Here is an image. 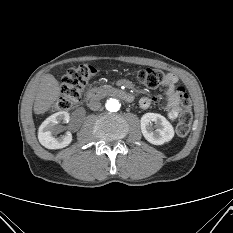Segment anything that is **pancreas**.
<instances>
[{
    "label": "pancreas",
    "mask_w": 233,
    "mask_h": 233,
    "mask_svg": "<svg viewBox=\"0 0 233 233\" xmlns=\"http://www.w3.org/2000/svg\"><path fill=\"white\" fill-rule=\"evenodd\" d=\"M102 87L105 88V89H109L110 88L109 85H103Z\"/></svg>",
    "instance_id": "cf45deb5"
}]
</instances>
